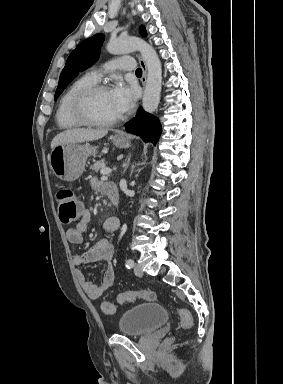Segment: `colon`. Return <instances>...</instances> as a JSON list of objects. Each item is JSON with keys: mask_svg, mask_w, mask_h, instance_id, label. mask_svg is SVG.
<instances>
[{"mask_svg": "<svg viewBox=\"0 0 283 384\" xmlns=\"http://www.w3.org/2000/svg\"><path fill=\"white\" fill-rule=\"evenodd\" d=\"M56 202L59 208V218L65 225L74 223L80 216L79 202L72 190L61 187L56 193ZM136 299L154 301L156 294L151 290L125 291L117 296L119 304H126ZM102 310L106 314H113L115 306L111 302H104ZM177 314L180 317V325L182 329H189L193 325V317L190 312L184 308H177Z\"/></svg>", "mask_w": 283, "mask_h": 384, "instance_id": "obj_1", "label": "colon"}]
</instances>
